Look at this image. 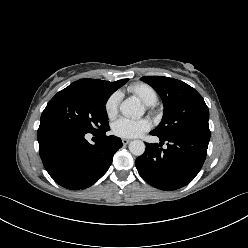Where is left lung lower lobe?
Here are the masks:
<instances>
[{
    "label": "left lung lower lobe",
    "instance_id": "left-lung-lower-lobe-1",
    "mask_svg": "<svg viewBox=\"0 0 248 248\" xmlns=\"http://www.w3.org/2000/svg\"><path fill=\"white\" fill-rule=\"evenodd\" d=\"M159 138L162 144L168 142L167 149H160L158 144L146 143L144 154L135 161L136 168L145 181L158 189H179L190 183L202 168L210 131H185L168 138Z\"/></svg>",
    "mask_w": 248,
    "mask_h": 248
}]
</instances>
